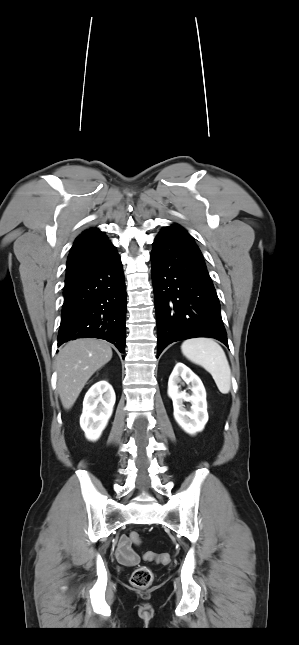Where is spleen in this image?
Here are the masks:
<instances>
[{
	"label": "spleen",
	"mask_w": 299,
	"mask_h": 645,
	"mask_svg": "<svg viewBox=\"0 0 299 645\" xmlns=\"http://www.w3.org/2000/svg\"><path fill=\"white\" fill-rule=\"evenodd\" d=\"M183 355L202 366L213 377L219 391L228 394L231 388V370L222 347L210 338H193L181 345Z\"/></svg>",
	"instance_id": "obj_1"
}]
</instances>
